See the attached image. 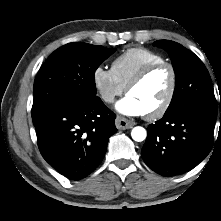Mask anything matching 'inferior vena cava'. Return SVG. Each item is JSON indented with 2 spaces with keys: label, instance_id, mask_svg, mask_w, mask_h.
Wrapping results in <instances>:
<instances>
[{
  "label": "inferior vena cava",
  "instance_id": "1",
  "mask_svg": "<svg viewBox=\"0 0 221 221\" xmlns=\"http://www.w3.org/2000/svg\"><path fill=\"white\" fill-rule=\"evenodd\" d=\"M104 100L106 102L113 103L114 102V96L113 95H107V96L104 97Z\"/></svg>",
  "mask_w": 221,
  "mask_h": 221
}]
</instances>
